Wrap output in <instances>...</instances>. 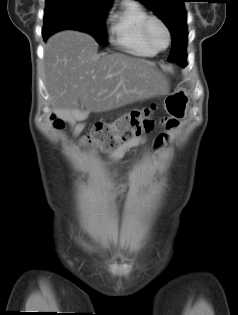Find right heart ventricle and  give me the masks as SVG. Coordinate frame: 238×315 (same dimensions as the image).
<instances>
[{
  "instance_id": "right-heart-ventricle-1",
  "label": "right heart ventricle",
  "mask_w": 238,
  "mask_h": 315,
  "mask_svg": "<svg viewBox=\"0 0 238 315\" xmlns=\"http://www.w3.org/2000/svg\"><path fill=\"white\" fill-rule=\"evenodd\" d=\"M149 13L139 4L126 1L111 17L110 34L115 45L124 51L144 57L157 54L144 38L143 25Z\"/></svg>"
}]
</instances>
